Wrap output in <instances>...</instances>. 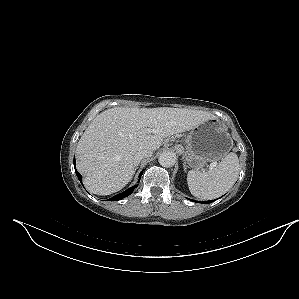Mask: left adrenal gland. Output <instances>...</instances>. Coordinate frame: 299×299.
<instances>
[{
	"instance_id": "obj_1",
	"label": "left adrenal gland",
	"mask_w": 299,
	"mask_h": 299,
	"mask_svg": "<svg viewBox=\"0 0 299 299\" xmlns=\"http://www.w3.org/2000/svg\"><path fill=\"white\" fill-rule=\"evenodd\" d=\"M183 168H184V171H186V169H187L186 163L183 164Z\"/></svg>"
}]
</instances>
